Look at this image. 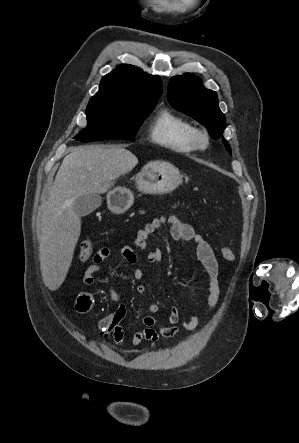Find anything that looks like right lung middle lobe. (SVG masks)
<instances>
[{"instance_id":"right-lung-middle-lobe-1","label":"right lung middle lobe","mask_w":299,"mask_h":443,"mask_svg":"<svg viewBox=\"0 0 299 443\" xmlns=\"http://www.w3.org/2000/svg\"><path fill=\"white\" fill-rule=\"evenodd\" d=\"M155 105L90 99L86 109L87 127L74 139L81 142L133 139Z\"/></svg>"}]
</instances>
